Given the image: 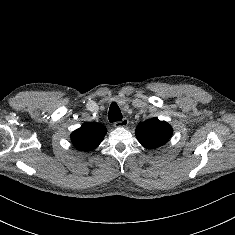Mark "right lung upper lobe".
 Returning <instances> with one entry per match:
<instances>
[{
	"label": "right lung upper lobe",
	"mask_w": 235,
	"mask_h": 235,
	"mask_svg": "<svg viewBox=\"0 0 235 235\" xmlns=\"http://www.w3.org/2000/svg\"><path fill=\"white\" fill-rule=\"evenodd\" d=\"M106 135V127L100 123H85L71 134L73 145L83 151L95 149Z\"/></svg>",
	"instance_id": "1"
}]
</instances>
